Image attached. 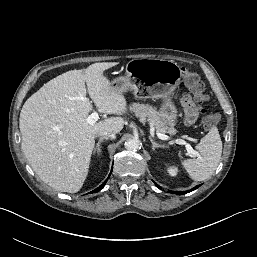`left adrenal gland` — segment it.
I'll list each match as a JSON object with an SVG mask.
<instances>
[{"label":"left adrenal gland","mask_w":257,"mask_h":257,"mask_svg":"<svg viewBox=\"0 0 257 257\" xmlns=\"http://www.w3.org/2000/svg\"><path fill=\"white\" fill-rule=\"evenodd\" d=\"M149 139H150V142H151V144H152V149H153V150H155L156 148H162V147H164V145L155 142V141L152 139L151 136H149Z\"/></svg>","instance_id":"a2214340"}]
</instances>
